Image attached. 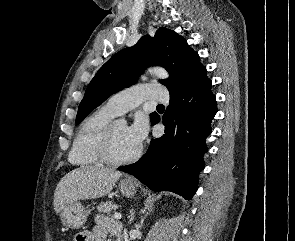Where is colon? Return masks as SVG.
I'll return each mask as SVG.
<instances>
[{"label": "colon", "instance_id": "obj_1", "mask_svg": "<svg viewBox=\"0 0 295 241\" xmlns=\"http://www.w3.org/2000/svg\"><path fill=\"white\" fill-rule=\"evenodd\" d=\"M75 241H84L83 235L81 233H79L76 237H75Z\"/></svg>", "mask_w": 295, "mask_h": 241}]
</instances>
